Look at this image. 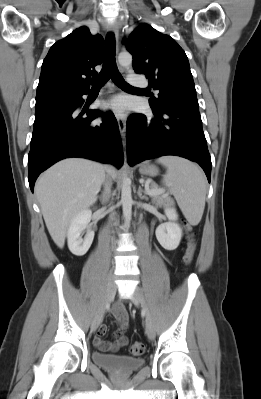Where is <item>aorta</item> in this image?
Listing matches in <instances>:
<instances>
[{
	"label": "aorta",
	"mask_w": 261,
	"mask_h": 399,
	"mask_svg": "<svg viewBox=\"0 0 261 399\" xmlns=\"http://www.w3.org/2000/svg\"><path fill=\"white\" fill-rule=\"evenodd\" d=\"M119 64L124 68H129L132 64V55L128 52H121L118 56ZM121 203L123 209V216L126 223H129L132 217V195H131V180L125 175L122 181L121 188Z\"/></svg>",
	"instance_id": "762f6f07"
}]
</instances>
